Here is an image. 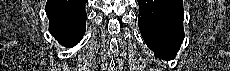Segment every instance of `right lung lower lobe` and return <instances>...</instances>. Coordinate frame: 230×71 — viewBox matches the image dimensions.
Masks as SVG:
<instances>
[{"instance_id":"1","label":"right lung lower lobe","mask_w":230,"mask_h":71,"mask_svg":"<svg viewBox=\"0 0 230 71\" xmlns=\"http://www.w3.org/2000/svg\"><path fill=\"white\" fill-rule=\"evenodd\" d=\"M87 0H47L49 31L65 46L76 45L84 36Z\"/></svg>"}]
</instances>
